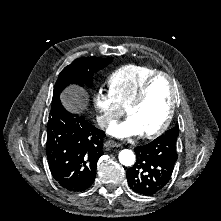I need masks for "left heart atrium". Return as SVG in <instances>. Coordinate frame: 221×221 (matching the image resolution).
<instances>
[{
	"mask_svg": "<svg viewBox=\"0 0 221 221\" xmlns=\"http://www.w3.org/2000/svg\"><path fill=\"white\" fill-rule=\"evenodd\" d=\"M109 134L118 138H127L134 135L142 134L139 128L135 125V123L128 119L125 122L119 124H113L109 128Z\"/></svg>",
	"mask_w": 221,
	"mask_h": 221,
	"instance_id": "obj_1",
	"label": "left heart atrium"
}]
</instances>
